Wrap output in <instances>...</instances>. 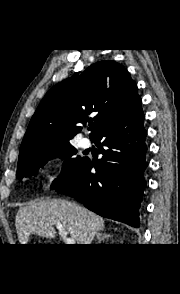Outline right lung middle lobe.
<instances>
[{
  "mask_svg": "<svg viewBox=\"0 0 180 294\" xmlns=\"http://www.w3.org/2000/svg\"><path fill=\"white\" fill-rule=\"evenodd\" d=\"M76 153L77 150L70 143L39 150L26 160L18 162L16 176L21 180L24 177L36 175L39 168L48 160L59 157L65 161L61 176L51 185V189H55L68 182L87 160V158L80 156L73 157Z\"/></svg>",
  "mask_w": 180,
  "mask_h": 294,
  "instance_id": "1",
  "label": "right lung middle lobe"
}]
</instances>
